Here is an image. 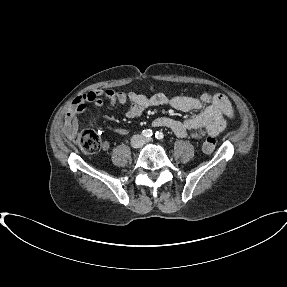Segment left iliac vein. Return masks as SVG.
<instances>
[{"label":"left iliac vein","mask_w":287,"mask_h":287,"mask_svg":"<svg viewBox=\"0 0 287 287\" xmlns=\"http://www.w3.org/2000/svg\"><path fill=\"white\" fill-rule=\"evenodd\" d=\"M151 141H152V139H145L144 140L145 143H148V142H151Z\"/></svg>","instance_id":"left-iliac-vein-1"}]
</instances>
